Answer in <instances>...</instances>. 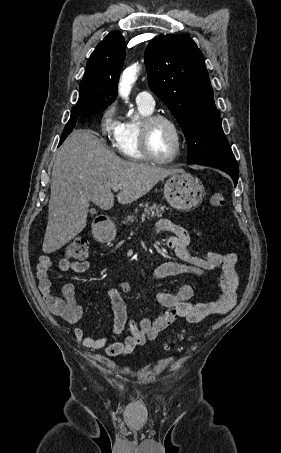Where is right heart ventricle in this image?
<instances>
[{"label":"right heart ventricle","instance_id":"right-heart-ventricle-1","mask_svg":"<svg viewBox=\"0 0 281 453\" xmlns=\"http://www.w3.org/2000/svg\"><path fill=\"white\" fill-rule=\"evenodd\" d=\"M138 118L125 117L120 124V128L114 147L117 153L126 159L141 161L146 159L141 148V128L145 118L154 114V108H149L145 103L137 101Z\"/></svg>","mask_w":281,"mask_h":453}]
</instances>
